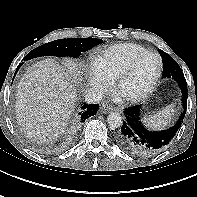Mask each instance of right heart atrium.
Returning a JSON list of instances; mask_svg holds the SVG:
<instances>
[{"label": "right heart atrium", "mask_w": 197, "mask_h": 197, "mask_svg": "<svg viewBox=\"0 0 197 197\" xmlns=\"http://www.w3.org/2000/svg\"><path fill=\"white\" fill-rule=\"evenodd\" d=\"M88 82L90 87L97 93H105L111 85V81L94 68L88 74Z\"/></svg>", "instance_id": "obj_1"}]
</instances>
